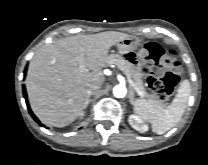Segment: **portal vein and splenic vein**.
<instances>
[{
    "label": "portal vein and splenic vein",
    "mask_w": 208,
    "mask_h": 165,
    "mask_svg": "<svg viewBox=\"0 0 208 165\" xmlns=\"http://www.w3.org/2000/svg\"><path fill=\"white\" fill-rule=\"evenodd\" d=\"M120 69L124 72V69L120 67ZM129 84L133 87V90L139 94V91L134 87L133 81L128 77Z\"/></svg>",
    "instance_id": "18ae733b"
}]
</instances>
